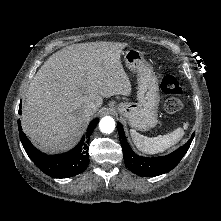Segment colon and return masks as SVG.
I'll list each match as a JSON object with an SVG mask.
<instances>
[{
	"instance_id": "colon-1",
	"label": "colon",
	"mask_w": 221,
	"mask_h": 221,
	"mask_svg": "<svg viewBox=\"0 0 221 221\" xmlns=\"http://www.w3.org/2000/svg\"><path fill=\"white\" fill-rule=\"evenodd\" d=\"M161 89L169 96L164 104L165 111L167 113L178 112L182 107V103L178 98V95L182 92L178 79L172 75L165 76L161 83Z\"/></svg>"
}]
</instances>
